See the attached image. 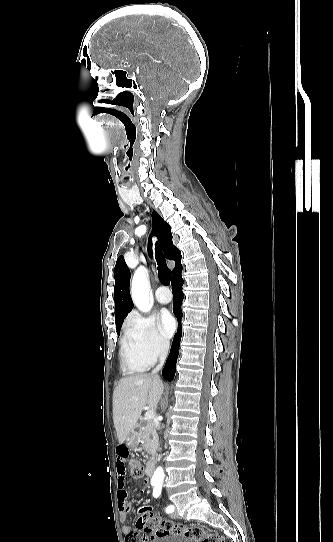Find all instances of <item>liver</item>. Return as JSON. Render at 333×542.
Instances as JSON below:
<instances>
[{"label":"liver","mask_w":333,"mask_h":542,"mask_svg":"<svg viewBox=\"0 0 333 542\" xmlns=\"http://www.w3.org/2000/svg\"><path fill=\"white\" fill-rule=\"evenodd\" d=\"M164 384L159 376L130 374L119 380L113 394V422L119 444L137 428L142 410H157Z\"/></svg>","instance_id":"obj_1"}]
</instances>
